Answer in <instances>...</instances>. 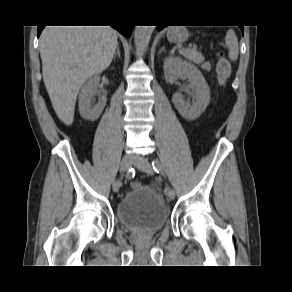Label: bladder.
Wrapping results in <instances>:
<instances>
[{
	"label": "bladder",
	"instance_id": "bladder-1",
	"mask_svg": "<svg viewBox=\"0 0 292 292\" xmlns=\"http://www.w3.org/2000/svg\"><path fill=\"white\" fill-rule=\"evenodd\" d=\"M116 212L120 225L135 233H156L169 218V208L159 190L153 186L129 190L119 200Z\"/></svg>",
	"mask_w": 292,
	"mask_h": 292
}]
</instances>
